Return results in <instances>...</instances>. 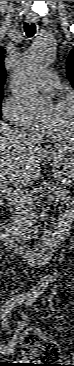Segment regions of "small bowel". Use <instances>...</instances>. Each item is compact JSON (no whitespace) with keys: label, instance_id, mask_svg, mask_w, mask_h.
Instances as JSON below:
<instances>
[{"label":"small bowel","instance_id":"1","mask_svg":"<svg viewBox=\"0 0 74 366\" xmlns=\"http://www.w3.org/2000/svg\"><path fill=\"white\" fill-rule=\"evenodd\" d=\"M53 281L52 276H49L45 279V284H50ZM20 326H23V323L20 324ZM14 349V342H12L9 346H4L1 348L2 352L4 354H11Z\"/></svg>","mask_w":74,"mask_h":366}]
</instances>
